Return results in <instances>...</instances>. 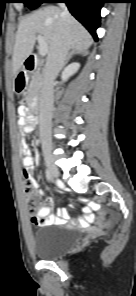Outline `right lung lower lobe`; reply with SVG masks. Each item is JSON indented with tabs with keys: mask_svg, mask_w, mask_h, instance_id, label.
<instances>
[{
	"mask_svg": "<svg viewBox=\"0 0 136 296\" xmlns=\"http://www.w3.org/2000/svg\"><path fill=\"white\" fill-rule=\"evenodd\" d=\"M66 3L70 13L81 22L97 40L96 29L100 26V9L104 0H47L46 3Z\"/></svg>",
	"mask_w": 136,
	"mask_h": 296,
	"instance_id": "98d812e1",
	"label": "right lung lower lobe"
}]
</instances>
